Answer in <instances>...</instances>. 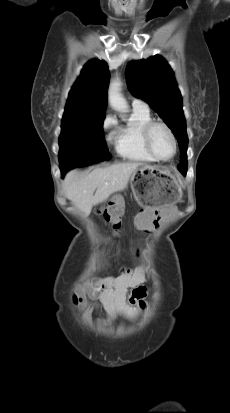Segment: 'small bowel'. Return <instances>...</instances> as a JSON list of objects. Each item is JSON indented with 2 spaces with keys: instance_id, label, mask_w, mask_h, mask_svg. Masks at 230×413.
I'll list each match as a JSON object with an SVG mask.
<instances>
[{
  "instance_id": "1",
  "label": "small bowel",
  "mask_w": 230,
  "mask_h": 413,
  "mask_svg": "<svg viewBox=\"0 0 230 413\" xmlns=\"http://www.w3.org/2000/svg\"><path fill=\"white\" fill-rule=\"evenodd\" d=\"M179 212L177 205L155 206L151 209H138L134 219L135 227L145 231H158L165 218H171ZM145 268L123 269L120 275L98 280L79 290L74 297L76 304H84L86 297L99 299L108 314V320H134L146 307L147 290L144 286ZM131 288L129 302L126 303L127 289Z\"/></svg>"
}]
</instances>
